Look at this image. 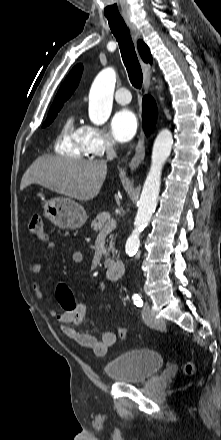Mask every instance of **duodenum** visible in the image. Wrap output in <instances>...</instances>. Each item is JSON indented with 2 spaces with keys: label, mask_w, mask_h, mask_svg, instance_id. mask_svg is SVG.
Segmentation results:
<instances>
[{
  "label": "duodenum",
  "mask_w": 221,
  "mask_h": 440,
  "mask_svg": "<svg viewBox=\"0 0 221 440\" xmlns=\"http://www.w3.org/2000/svg\"><path fill=\"white\" fill-rule=\"evenodd\" d=\"M125 265L120 260L111 261L106 265V273L110 280L116 281L123 277Z\"/></svg>",
  "instance_id": "1"
}]
</instances>
